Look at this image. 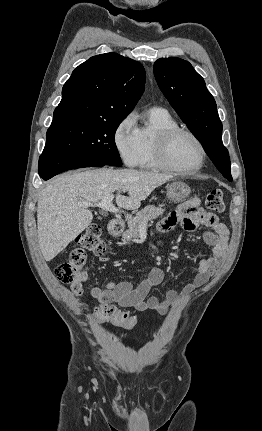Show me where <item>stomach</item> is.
Instances as JSON below:
<instances>
[{"label": "stomach", "instance_id": "obj_1", "mask_svg": "<svg viewBox=\"0 0 262 431\" xmlns=\"http://www.w3.org/2000/svg\"><path fill=\"white\" fill-rule=\"evenodd\" d=\"M190 187L182 181H173L167 185V197L174 203L185 201L190 195Z\"/></svg>", "mask_w": 262, "mask_h": 431}]
</instances>
